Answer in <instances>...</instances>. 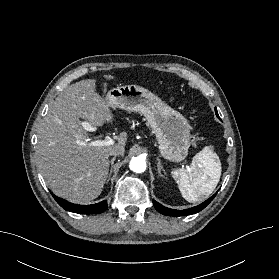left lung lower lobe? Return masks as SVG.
<instances>
[{
    "label": "left lung lower lobe",
    "mask_w": 279,
    "mask_h": 279,
    "mask_svg": "<svg viewBox=\"0 0 279 279\" xmlns=\"http://www.w3.org/2000/svg\"><path fill=\"white\" fill-rule=\"evenodd\" d=\"M215 196H216V194H214L212 197H210L208 200H206L202 204L195 206L193 208L186 209V210L170 209V208L164 207L163 205L159 204L155 200H153V205H154L155 209L161 214L168 215V216H185V215L195 214V213L203 210L213 200V198Z\"/></svg>",
    "instance_id": "obj_1"
}]
</instances>
